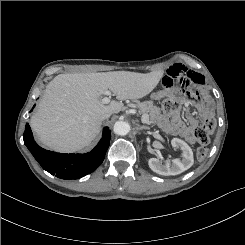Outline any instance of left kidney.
Returning <instances> with one entry per match:
<instances>
[{"instance_id": "5707ae66", "label": "left kidney", "mask_w": 245, "mask_h": 245, "mask_svg": "<svg viewBox=\"0 0 245 245\" xmlns=\"http://www.w3.org/2000/svg\"><path fill=\"white\" fill-rule=\"evenodd\" d=\"M171 145L174 148H180L182 151V159H172V163H162L157 158H150L148 165L150 169L160 175H178L188 170L194 163L193 152L190 146L179 138H173Z\"/></svg>"}]
</instances>
